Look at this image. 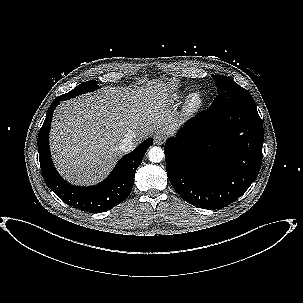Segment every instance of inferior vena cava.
Returning a JSON list of instances; mask_svg holds the SVG:
<instances>
[{"label":"inferior vena cava","mask_w":303,"mask_h":303,"mask_svg":"<svg viewBox=\"0 0 303 303\" xmlns=\"http://www.w3.org/2000/svg\"><path fill=\"white\" fill-rule=\"evenodd\" d=\"M135 134L134 133H128L125 135V137L121 140L119 148L124 153L130 152L135 148Z\"/></svg>","instance_id":"inferior-vena-cava-1"}]
</instances>
